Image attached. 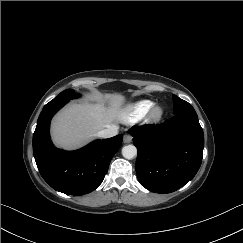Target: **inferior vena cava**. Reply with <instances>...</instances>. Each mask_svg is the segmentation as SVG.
<instances>
[{
	"label": "inferior vena cava",
	"mask_w": 243,
	"mask_h": 243,
	"mask_svg": "<svg viewBox=\"0 0 243 243\" xmlns=\"http://www.w3.org/2000/svg\"><path fill=\"white\" fill-rule=\"evenodd\" d=\"M118 134V127L116 126H108L106 129L98 132V136L102 138H110L116 136Z\"/></svg>",
	"instance_id": "obj_1"
}]
</instances>
